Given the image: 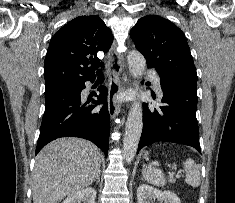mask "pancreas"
I'll list each match as a JSON object with an SVG mask.
<instances>
[{"mask_svg": "<svg viewBox=\"0 0 235 203\" xmlns=\"http://www.w3.org/2000/svg\"><path fill=\"white\" fill-rule=\"evenodd\" d=\"M169 182H170V183H174V182H175V179H174V178H170V179H169Z\"/></svg>", "mask_w": 235, "mask_h": 203, "instance_id": "pancreas-1", "label": "pancreas"}]
</instances>
